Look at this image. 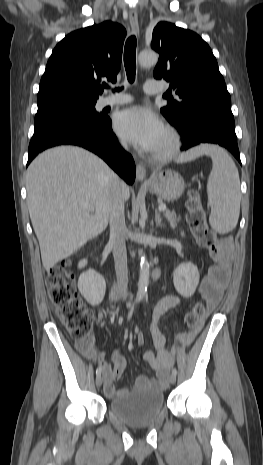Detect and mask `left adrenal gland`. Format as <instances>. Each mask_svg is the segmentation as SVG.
I'll list each match as a JSON object with an SVG mask.
<instances>
[{
	"label": "left adrenal gland",
	"instance_id": "left-adrenal-gland-1",
	"mask_svg": "<svg viewBox=\"0 0 263 465\" xmlns=\"http://www.w3.org/2000/svg\"><path fill=\"white\" fill-rule=\"evenodd\" d=\"M155 221L157 226H162V219L160 217V214L157 210H155Z\"/></svg>",
	"mask_w": 263,
	"mask_h": 465
}]
</instances>
